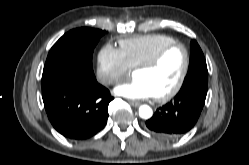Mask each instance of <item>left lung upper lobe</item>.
Listing matches in <instances>:
<instances>
[{
    "instance_id": "5c2ea615",
    "label": "left lung upper lobe",
    "mask_w": 249,
    "mask_h": 165,
    "mask_svg": "<svg viewBox=\"0 0 249 165\" xmlns=\"http://www.w3.org/2000/svg\"><path fill=\"white\" fill-rule=\"evenodd\" d=\"M194 80L208 81L206 60L201 48L195 40L191 42L190 65L183 85Z\"/></svg>"
}]
</instances>
